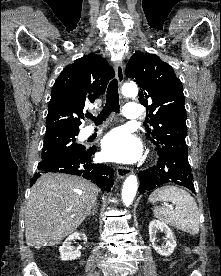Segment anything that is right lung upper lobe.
<instances>
[{"label": "right lung upper lobe", "mask_w": 221, "mask_h": 276, "mask_svg": "<svg viewBox=\"0 0 221 276\" xmlns=\"http://www.w3.org/2000/svg\"><path fill=\"white\" fill-rule=\"evenodd\" d=\"M114 70L101 56L89 54L74 61L56 79L46 117V134L78 132L89 102L104 94Z\"/></svg>", "instance_id": "cb5924a9"}]
</instances>
